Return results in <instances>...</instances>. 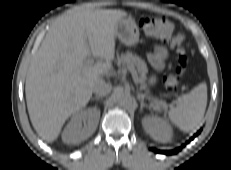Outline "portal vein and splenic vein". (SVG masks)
Instances as JSON below:
<instances>
[{
    "instance_id": "1",
    "label": "portal vein and splenic vein",
    "mask_w": 231,
    "mask_h": 170,
    "mask_svg": "<svg viewBox=\"0 0 231 170\" xmlns=\"http://www.w3.org/2000/svg\"><path fill=\"white\" fill-rule=\"evenodd\" d=\"M93 63H94V59H93V58H88V59L86 60V64H87V65H92ZM129 71L131 72L133 78H134L135 80H137V74H136V71L134 70V68H129Z\"/></svg>"
}]
</instances>
